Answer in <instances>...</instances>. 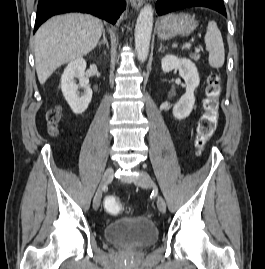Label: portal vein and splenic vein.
Instances as JSON below:
<instances>
[{
    "label": "portal vein and splenic vein",
    "mask_w": 265,
    "mask_h": 269,
    "mask_svg": "<svg viewBox=\"0 0 265 269\" xmlns=\"http://www.w3.org/2000/svg\"><path fill=\"white\" fill-rule=\"evenodd\" d=\"M191 47V44L190 43H186L184 46H183V49H189ZM196 52H200L201 49L200 48H196L195 49Z\"/></svg>",
    "instance_id": "1"
}]
</instances>
